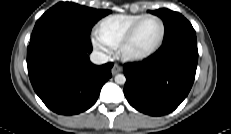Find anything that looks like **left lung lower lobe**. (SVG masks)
I'll return each mask as SVG.
<instances>
[{
    "label": "left lung lower lobe",
    "instance_id": "obj_1",
    "mask_svg": "<svg viewBox=\"0 0 231 134\" xmlns=\"http://www.w3.org/2000/svg\"><path fill=\"white\" fill-rule=\"evenodd\" d=\"M198 62L196 35L163 42L145 62L125 64L124 94L136 110L161 116L175 110L188 95Z\"/></svg>",
    "mask_w": 231,
    "mask_h": 134
}]
</instances>
